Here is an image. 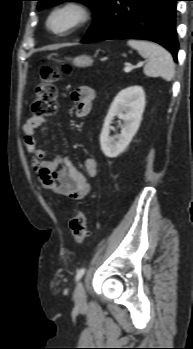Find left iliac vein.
I'll return each instance as SVG.
<instances>
[{
	"label": "left iliac vein",
	"mask_w": 193,
	"mask_h": 349,
	"mask_svg": "<svg viewBox=\"0 0 193 349\" xmlns=\"http://www.w3.org/2000/svg\"><path fill=\"white\" fill-rule=\"evenodd\" d=\"M74 301L77 307L82 308L86 305V293L81 281H78L74 290Z\"/></svg>",
	"instance_id": "1"
}]
</instances>
